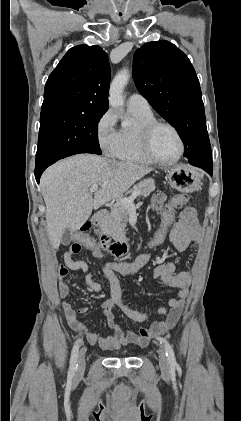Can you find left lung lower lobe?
<instances>
[{"label": "left lung lower lobe", "instance_id": "0a47b994", "mask_svg": "<svg viewBox=\"0 0 241 421\" xmlns=\"http://www.w3.org/2000/svg\"><path fill=\"white\" fill-rule=\"evenodd\" d=\"M192 165L198 166L206 170L210 175H212V162H196V161H189Z\"/></svg>", "mask_w": 241, "mask_h": 421}]
</instances>
